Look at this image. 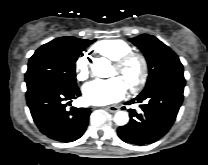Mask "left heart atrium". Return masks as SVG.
Here are the masks:
<instances>
[{"instance_id": "left-heart-atrium-1", "label": "left heart atrium", "mask_w": 208, "mask_h": 165, "mask_svg": "<svg viewBox=\"0 0 208 165\" xmlns=\"http://www.w3.org/2000/svg\"><path fill=\"white\" fill-rule=\"evenodd\" d=\"M126 92V86L116 76L106 80L97 79L85 85L83 94L88 104L108 105L119 101Z\"/></svg>"}]
</instances>
